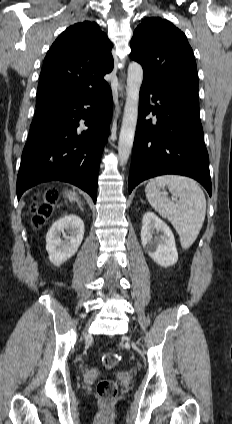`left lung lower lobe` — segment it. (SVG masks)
<instances>
[{
    "mask_svg": "<svg viewBox=\"0 0 232 424\" xmlns=\"http://www.w3.org/2000/svg\"><path fill=\"white\" fill-rule=\"evenodd\" d=\"M153 94L155 106H149ZM138 123L129 174V193L143 180L179 174L199 181L211 196L209 157L199 118L198 93L141 86ZM150 111L157 123L145 120Z\"/></svg>",
    "mask_w": 232,
    "mask_h": 424,
    "instance_id": "left-lung-lower-lobe-1",
    "label": "left lung lower lobe"
}]
</instances>
